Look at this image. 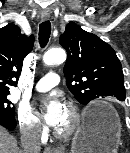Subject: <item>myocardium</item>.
Here are the masks:
<instances>
[{
	"mask_svg": "<svg viewBox=\"0 0 130 153\" xmlns=\"http://www.w3.org/2000/svg\"><path fill=\"white\" fill-rule=\"evenodd\" d=\"M65 108L67 109L70 116L68 125L62 129L55 128L53 131L55 137L59 139H66L73 135L81 122V114L79 112L78 107L74 103L66 102Z\"/></svg>",
	"mask_w": 130,
	"mask_h": 153,
	"instance_id": "myocardium-1",
	"label": "myocardium"
}]
</instances>
